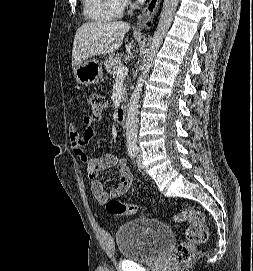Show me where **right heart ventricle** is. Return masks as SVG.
Masks as SVG:
<instances>
[{
    "mask_svg": "<svg viewBox=\"0 0 253 271\" xmlns=\"http://www.w3.org/2000/svg\"><path fill=\"white\" fill-rule=\"evenodd\" d=\"M85 16L96 22L117 19L122 15V0H83Z\"/></svg>",
    "mask_w": 253,
    "mask_h": 271,
    "instance_id": "obj_1",
    "label": "right heart ventricle"
}]
</instances>
